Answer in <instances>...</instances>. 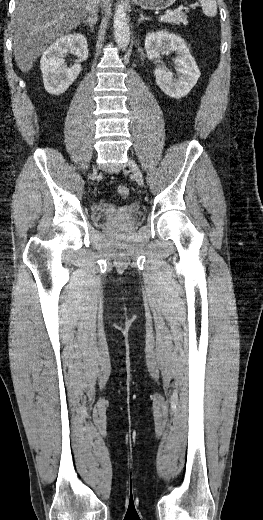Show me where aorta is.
<instances>
[{"label":"aorta","instance_id":"762f6f07","mask_svg":"<svg viewBox=\"0 0 263 520\" xmlns=\"http://www.w3.org/2000/svg\"><path fill=\"white\" fill-rule=\"evenodd\" d=\"M114 38L122 50H125L130 42V32H129V24L128 17L126 15V11L124 6L118 4L116 7L115 15H114Z\"/></svg>","mask_w":263,"mask_h":520}]
</instances>
